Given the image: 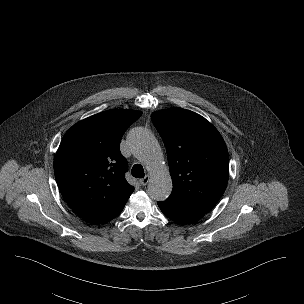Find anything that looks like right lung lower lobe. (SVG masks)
<instances>
[{"label":"right lung lower lobe","mask_w":304,"mask_h":304,"mask_svg":"<svg viewBox=\"0 0 304 304\" xmlns=\"http://www.w3.org/2000/svg\"><path fill=\"white\" fill-rule=\"evenodd\" d=\"M122 210H123V209H122ZM122 210H120V211H119L114 217H112L110 220H112L113 218H115L116 216H118V215L121 213ZM110 220H109V221H110ZM107 222H108V221H107Z\"/></svg>","instance_id":"98d812e1"}]
</instances>
